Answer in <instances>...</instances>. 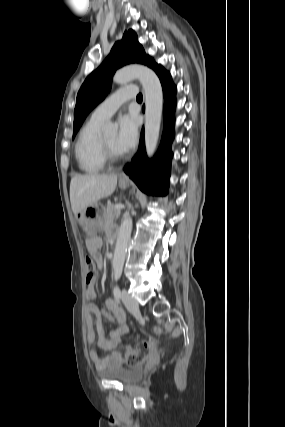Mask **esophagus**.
<instances>
[{
	"label": "esophagus",
	"mask_w": 285,
	"mask_h": 427,
	"mask_svg": "<svg viewBox=\"0 0 285 427\" xmlns=\"http://www.w3.org/2000/svg\"><path fill=\"white\" fill-rule=\"evenodd\" d=\"M119 179L123 180V181H127L128 177L124 173H122V174H120Z\"/></svg>",
	"instance_id": "esophagus-1"
}]
</instances>
